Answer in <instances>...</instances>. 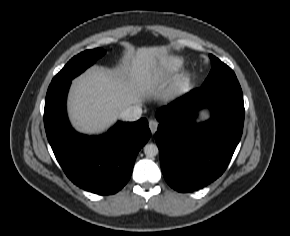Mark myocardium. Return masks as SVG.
I'll use <instances>...</instances> for the list:
<instances>
[{
    "label": "myocardium",
    "instance_id": "1",
    "mask_svg": "<svg viewBox=\"0 0 290 236\" xmlns=\"http://www.w3.org/2000/svg\"><path fill=\"white\" fill-rule=\"evenodd\" d=\"M189 81V76L187 74L181 75L177 81H176V86L178 88H183Z\"/></svg>",
    "mask_w": 290,
    "mask_h": 236
}]
</instances>
